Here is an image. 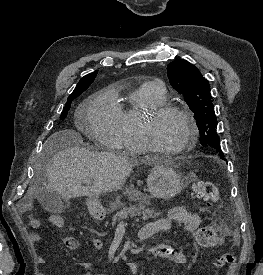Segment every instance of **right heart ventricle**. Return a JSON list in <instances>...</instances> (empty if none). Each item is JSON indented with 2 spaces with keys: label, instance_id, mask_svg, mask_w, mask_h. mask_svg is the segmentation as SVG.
Returning a JSON list of instances; mask_svg holds the SVG:
<instances>
[{
  "label": "right heart ventricle",
  "instance_id": "obj_1",
  "mask_svg": "<svg viewBox=\"0 0 263 275\" xmlns=\"http://www.w3.org/2000/svg\"><path fill=\"white\" fill-rule=\"evenodd\" d=\"M165 94L153 83H143L127 95L126 105L117 106L118 148L131 155L147 151L141 135V120L151 108L164 104Z\"/></svg>",
  "mask_w": 263,
  "mask_h": 275
}]
</instances>
